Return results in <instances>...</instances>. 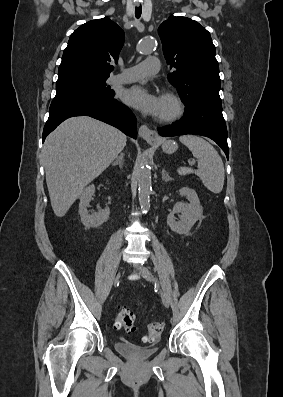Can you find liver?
Masks as SVG:
<instances>
[{"label":"liver","mask_w":283,"mask_h":397,"mask_svg":"<svg viewBox=\"0 0 283 397\" xmlns=\"http://www.w3.org/2000/svg\"><path fill=\"white\" fill-rule=\"evenodd\" d=\"M125 145L122 132L88 116L67 119L46 138V183L56 216L68 212L85 186L117 158Z\"/></svg>","instance_id":"1"}]
</instances>
